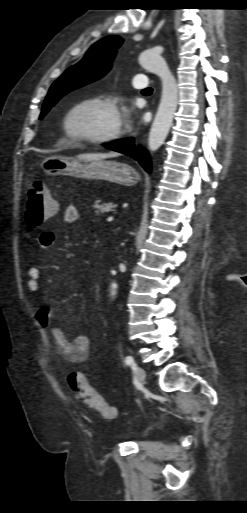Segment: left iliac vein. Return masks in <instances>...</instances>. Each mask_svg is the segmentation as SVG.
Masks as SVG:
<instances>
[{"instance_id":"obj_1","label":"left iliac vein","mask_w":247,"mask_h":513,"mask_svg":"<svg viewBox=\"0 0 247 513\" xmlns=\"http://www.w3.org/2000/svg\"><path fill=\"white\" fill-rule=\"evenodd\" d=\"M136 374H137V378H138L139 382L141 384H143L146 379V373H145L144 369L141 367H137Z\"/></svg>"}]
</instances>
